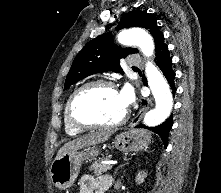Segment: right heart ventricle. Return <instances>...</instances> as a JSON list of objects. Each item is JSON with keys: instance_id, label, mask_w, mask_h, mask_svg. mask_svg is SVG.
<instances>
[{"instance_id": "e07e8e85", "label": "right heart ventricle", "mask_w": 221, "mask_h": 193, "mask_svg": "<svg viewBox=\"0 0 221 193\" xmlns=\"http://www.w3.org/2000/svg\"><path fill=\"white\" fill-rule=\"evenodd\" d=\"M64 121H65V132H66L68 135H70V136H76V135L81 134V133L84 131V129L75 126V125L71 122V120H70V118H69V116H68L67 105H66V107H65V109H64Z\"/></svg>"}]
</instances>
